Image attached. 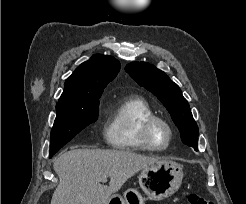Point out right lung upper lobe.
I'll use <instances>...</instances> for the list:
<instances>
[{
    "mask_svg": "<svg viewBox=\"0 0 246 204\" xmlns=\"http://www.w3.org/2000/svg\"><path fill=\"white\" fill-rule=\"evenodd\" d=\"M120 70V63L111 56L96 54L82 63L65 81L58 103L74 102L102 94L105 86Z\"/></svg>",
    "mask_w": 246,
    "mask_h": 204,
    "instance_id": "right-lung-upper-lobe-1",
    "label": "right lung upper lobe"
}]
</instances>
